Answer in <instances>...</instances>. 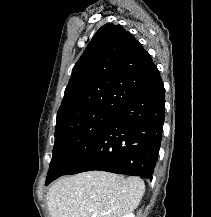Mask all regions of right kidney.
<instances>
[{"label":"right kidney","instance_id":"1","mask_svg":"<svg viewBox=\"0 0 211 217\" xmlns=\"http://www.w3.org/2000/svg\"><path fill=\"white\" fill-rule=\"evenodd\" d=\"M122 217H135V215L133 213H128L126 215H123Z\"/></svg>","mask_w":211,"mask_h":217}]
</instances>
